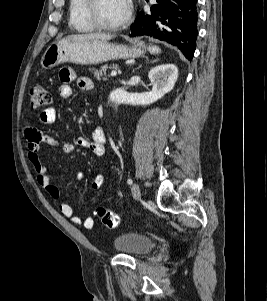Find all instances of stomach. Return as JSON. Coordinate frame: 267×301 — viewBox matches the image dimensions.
Listing matches in <instances>:
<instances>
[{
  "mask_svg": "<svg viewBox=\"0 0 267 301\" xmlns=\"http://www.w3.org/2000/svg\"><path fill=\"white\" fill-rule=\"evenodd\" d=\"M145 46L133 42L130 46L104 40L73 41L62 39L48 46L41 58V67L51 69L62 63L94 65L114 59L136 58L144 55Z\"/></svg>",
  "mask_w": 267,
  "mask_h": 301,
  "instance_id": "stomach-1",
  "label": "stomach"
}]
</instances>
